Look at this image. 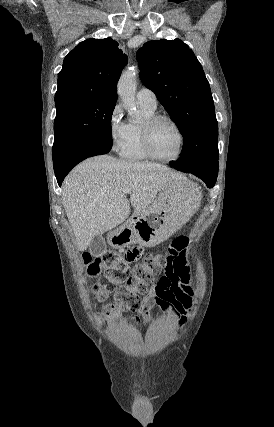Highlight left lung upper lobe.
Listing matches in <instances>:
<instances>
[{
	"instance_id": "5c2ea615",
	"label": "left lung upper lobe",
	"mask_w": 274,
	"mask_h": 427,
	"mask_svg": "<svg viewBox=\"0 0 274 427\" xmlns=\"http://www.w3.org/2000/svg\"><path fill=\"white\" fill-rule=\"evenodd\" d=\"M140 78L184 138L180 163L218 168V124L208 80L180 39L149 41L137 52Z\"/></svg>"
}]
</instances>
